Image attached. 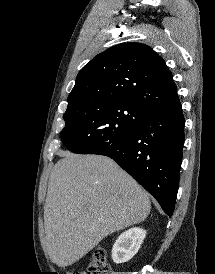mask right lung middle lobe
I'll return each mask as SVG.
<instances>
[{
    "instance_id": "1",
    "label": "right lung middle lobe",
    "mask_w": 215,
    "mask_h": 274,
    "mask_svg": "<svg viewBox=\"0 0 215 274\" xmlns=\"http://www.w3.org/2000/svg\"><path fill=\"white\" fill-rule=\"evenodd\" d=\"M148 113L135 104L117 100L68 102L61 139L70 151L90 154L128 135Z\"/></svg>"
}]
</instances>
